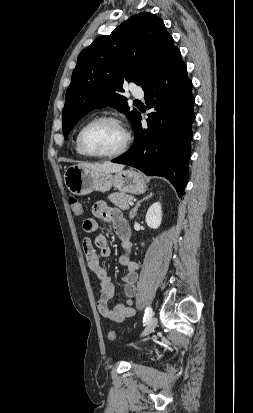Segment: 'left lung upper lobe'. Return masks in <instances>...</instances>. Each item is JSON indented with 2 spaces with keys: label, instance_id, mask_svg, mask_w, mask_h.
<instances>
[{
  "label": "left lung upper lobe",
  "instance_id": "1",
  "mask_svg": "<svg viewBox=\"0 0 253 413\" xmlns=\"http://www.w3.org/2000/svg\"><path fill=\"white\" fill-rule=\"evenodd\" d=\"M177 49L163 21L152 13L130 17L110 35L97 38L78 56L62 112L65 140L74 124L96 108L111 106L125 113L134 129L139 112L121 93L125 81L144 89L163 70Z\"/></svg>",
  "mask_w": 253,
  "mask_h": 413
}]
</instances>
